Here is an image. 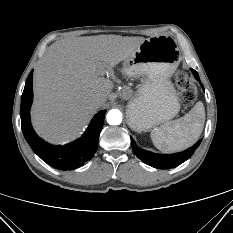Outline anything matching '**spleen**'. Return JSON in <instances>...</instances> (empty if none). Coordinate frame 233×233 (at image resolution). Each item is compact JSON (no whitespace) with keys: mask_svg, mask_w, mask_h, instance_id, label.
<instances>
[{"mask_svg":"<svg viewBox=\"0 0 233 233\" xmlns=\"http://www.w3.org/2000/svg\"><path fill=\"white\" fill-rule=\"evenodd\" d=\"M205 123V108L201 101L183 117L167 122L151 131L154 146L163 152H178L198 140Z\"/></svg>","mask_w":233,"mask_h":233,"instance_id":"3e777b00","label":"spleen"}]
</instances>
